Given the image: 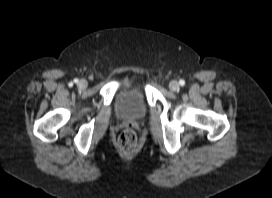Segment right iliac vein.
Instances as JSON below:
<instances>
[{
	"label": "right iliac vein",
	"instance_id": "obj_1",
	"mask_svg": "<svg viewBox=\"0 0 272 198\" xmlns=\"http://www.w3.org/2000/svg\"><path fill=\"white\" fill-rule=\"evenodd\" d=\"M78 87L79 88H86L87 87V81L86 80H80L78 82Z\"/></svg>",
	"mask_w": 272,
	"mask_h": 198
}]
</instances>
